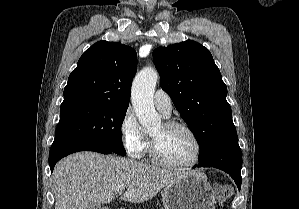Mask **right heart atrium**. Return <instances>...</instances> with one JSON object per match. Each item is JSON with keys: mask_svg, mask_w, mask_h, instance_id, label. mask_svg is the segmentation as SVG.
Instances as JSON below:
<instances>
[{"mask_svg": "<svg viewBox=\"0 0 299 209\" xmlns=\"http://www.w3.org/2000/svg\"><path fill=\"white\" fill-rule=\"evenodd\" d=\"M119 129L128 155L140 158L148 145V139L131 109H127L124 113Z\"/></svg>", "mask_w": 299, "mask_h": 209, "instance_id": "d8ad5b80", "label": "right heart atrium"}]
</instances>
